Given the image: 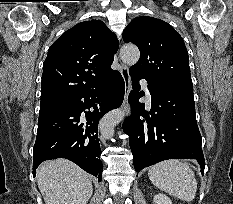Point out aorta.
<instances>
[{
	"mask_svg": "<svg viewBox=\"0 0 233 204\" xmlns=\"http://www.w3.org/2000/svg\"><path fill=\"white\" fill-rule=\"evenodd\" d=\"M122 61L132 66L136 64L140 57L139 49L135 45H124L120 50ZM124 111L116 109L107 113L100 122V132L105 139H109L114 135L115 126L122 121Z\"/></svg>",
	"mask_w": 233,
	"mask_h": 204,
	"instance_id": "762f6f07",
	"label": "aorta"
}]
</instances>
